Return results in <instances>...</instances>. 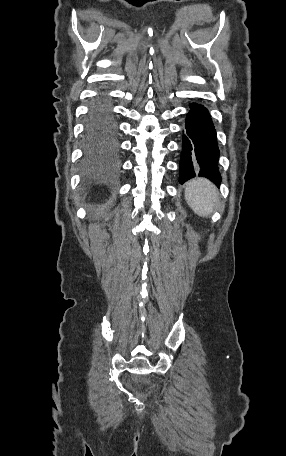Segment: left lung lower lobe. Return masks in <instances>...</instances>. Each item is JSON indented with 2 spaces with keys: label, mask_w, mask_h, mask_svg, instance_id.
I'll list each match as a JSON object with an SVG mask.
<instances>
[{
  "label": "left lung lower lobe",
  "mask_w": 286,
  "mask_h": 456,
  "mask_svg": "<svg viewBox=\"0 0 286 456\" xmlns=\"http://www.w3.org/2000/svg\"><path fill=\"white\" fill-rule=\"evenodd\" d=\"M185 128L179 182L183 184L198 174L219 186V149L216 131L207 109L202 105L191 104Z\"/></svg>",
  "instance_id": "obj_1"
}]
</instances>
